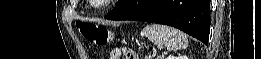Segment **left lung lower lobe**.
Segmentation results:
<instances>
[{"instance_id":"0a47b994","label":"left lung lower lobe","mask_w":261,"mask_h":59,"mask_svg":"<svg viewBox=\"0 0 261 59\" xmlns=\"http://www.w3.org/2000/svg\"><path fill=\"white\" fill-rule=\"evenodd\" d=\"M105 18L173 26L207 45L210 0H124Z\"/></svg>"}]
</instances>
